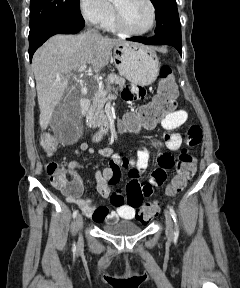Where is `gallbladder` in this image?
<instances>
[{
	"label": "gallbladder",
	"mask_w": 240,
	"mask_h": 288,
	"mask_svg": "<svg viewBox=\"0 0 240 288\" xmlns=\"http://www.w3.org/2000/svg\"><path fill=\"white\" fill-rule=\"evenodd\" d=\"M78 95L75 92L67 89L53 111L51 116V122L57 123L64 121L65 119L71 118L75 113L78 112Z\"/></svg>",
	"instance_id": "1"
}]
</instances>
